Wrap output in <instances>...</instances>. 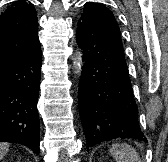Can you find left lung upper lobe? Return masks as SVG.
<instances>
[{
	"mask_svg": "<svg viewBox=\"0 0 168 162\" xmlns=\"http://www.w3.org/2000/svg\"><path fill=\"white\" fill-rule=\"evenodd\" d=\"M81 17L89 18L120 37L118 24L113 13L102 4L87 2Z\"/></svg>",
	"mask_w": 168,
	"mask_h": 162,
	"instance_id": "1",
	"label": "left lung upper lobe"
}]
</instances>
